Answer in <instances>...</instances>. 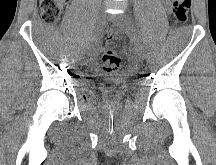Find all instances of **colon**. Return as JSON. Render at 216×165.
Returning <instances> with one entry per match:
<instances>
[{
    "instance_id": "colon-1",
    "label": "colon",
    "mask_w": 216,
    "mask_h": 165,
    "mask_svg": "<svg viewBox=\"0 0 216 165\" xmlns=\"http://www.w3.org/2000/svg\"><path fill=\"white\" fill-rule=\"evenodd\" d=\"M67 0H40V12L42 19L47 22H56L66 5ZM174 22L177 26L183 25L188 18L191 0H169ZM122 66V59L108 47L102 56V69L108 74L117 73Z\"/></svg>"
}]
</instances>
